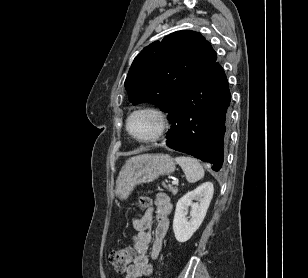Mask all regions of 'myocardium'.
<instances>
[{
	"instance_id": "1",
	"label": "myocardium",
	"mask_w": 308,
	"mask_h": 278,
	"mask_svg": "<svg viewBox=\"0 0 308 278\" xmlns=\"http://www.w3.org/2000/svg\"><path fill=\"white\" fill-rule=\"evenodd\" d=\"M141 112H148V113H152L153 115H155L159 121V127L157 132L148 138H139L137 137L130 128V122L131 119L138 113ZM169 128V121H168V117L166 115V113L161 110L160 108L154 107V106H142L139 107L135 110H133L126 121V130L128 132V134L136 141L141 142V143H152V142H156L158 140H160L167 132Z\"/></svg>"
}]
</instances>
